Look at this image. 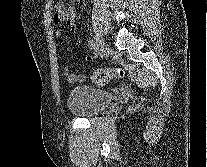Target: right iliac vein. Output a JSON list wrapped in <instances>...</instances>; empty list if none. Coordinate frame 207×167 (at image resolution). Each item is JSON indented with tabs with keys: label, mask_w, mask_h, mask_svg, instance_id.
<instances>
[{
	"label": "right iliac vein",
	"mask_w": 207,
	"mask_h": 167,
	"mask_svg": "<svg viewBox=\"0 0 207 167\" xmlns=\"http://www.w3.org/2000/svg\"><path fill=\"white\" fill-rule=\"evenodd\" d=\"M95 52L101 54L105 49V43L101 34H97L95 37Z\"/></svg>",
	"instance_id": "63e3f726"
}]
</instances>
